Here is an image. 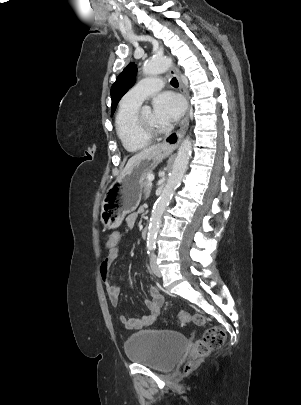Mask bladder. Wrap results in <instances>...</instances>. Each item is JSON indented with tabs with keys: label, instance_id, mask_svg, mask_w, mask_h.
<instances>
[{
	"label": "bladder",
	"instance_id": "bladder-1",
	"mask_svg": "<svg viewBox=\"0 0 301 405\" xmlns=\"http://www.w3.org/2000/svg\"><path fill=\"white\" fill-rule=\"evenodd\" d=\"M186 347L185 337L169 330H142L125 342L127 358L157 371L171 370Z\"/></svg>",
	"mask_w": 301,
	"mask_h": 405
}]
</instances>
